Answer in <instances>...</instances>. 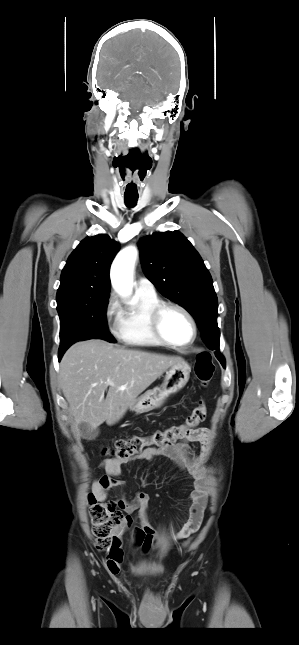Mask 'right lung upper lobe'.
<instances>
[{
	"instance_id": "cb5924a9",
	"label": "right lung upper lobe",
	"mask_w": 299,
	"mask_h": 645,
	"mask_svg": "<svg viewBox=\"0 0 299 645\" xmlns=\"http://www.w3.org/2000/svg\"><path fill=\"white\" fill-rule=\"evenodd\" d=\"M119 249L120 244L104 234L81 241L62 270L57 304L74 297L108 295L110 265Z\"/></svg>"
}]
</instances>
